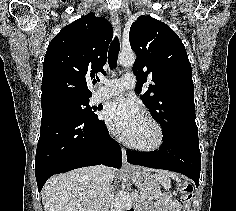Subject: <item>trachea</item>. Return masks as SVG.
Here are the masks:
<instances>
[{
	"mask_svg": "<svg viewBox=\"0 0 236 211\" xmlns=\"http://www.w3.org/2000/svg\"><path fill=\"white\" fill-rule=\"evenodd\" d=\"M119 50H120V43L118 38L115 37L111 42L108 52V64L111 70H113L117 66Z\"/></svg>",
	"mask_w": 236,
	"mask_h": 211,
	"instance_id": "obj_1",
	"label": "trachea"
}]
</instances>
